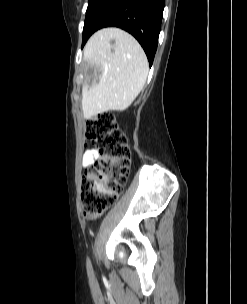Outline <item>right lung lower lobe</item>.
I'll return each instance as SVG.
<instances>
[{
    "mask_svg": "<svg viewBox=\"0 0 247 304\" xmlns=\"http://www.w3.org/2000/svg\"><path fill=\"white\" fill-rule=\"evenodd\" d=\"M164 6L165 0H97L85 18L82 47L98 29L116 26L138 40L151 66L157 49Z\"/></svg>",
    "mask_w": 247,
    "mask_h": 304,
    "instance_id": "98d812e1",
    "label": "right lung lower lobe"
}]
</instances>
